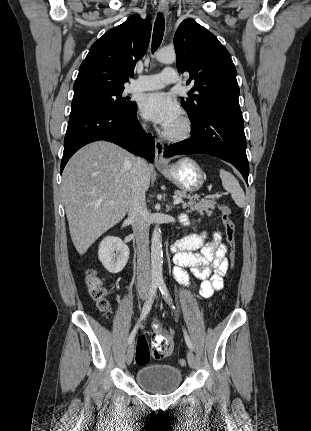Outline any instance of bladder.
<instances>
[{
  "instance_id": "31cf9c89",
  "label": "bladder",
  "mask_w": 311,
  "mask_h": 431,
  "mask_svg": "<svg viewBox=\"0 0 311 431\" xmlns=\"http://www.w3.org/2000/svg\"><path fill=\"white\" fill-rule=\"evenodd\" d=\"M138 385L152 394H168L182 383V371L171 364H146L136 372Z\"/></svg>"
}]
</instances>
